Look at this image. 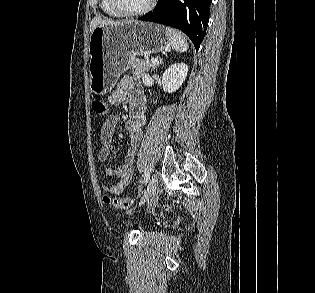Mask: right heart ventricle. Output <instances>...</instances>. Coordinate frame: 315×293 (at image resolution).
<instances>
[{"label": "right heart ventricle", "mask_w": 315, "mask_h": 293, "mask_svg": "<svg viewBox=\"0 0 315 293\" xmlns=\"http://www.w3.org/2000/svg\"><path fill=\"white\" fill-rule=\"evenodd\" d=\"M101 9L104 14L112 18H121L122 16L118 14L111 6L110 0H101Z\"/></svg>", "instance_id": "1"}]
</instances>
